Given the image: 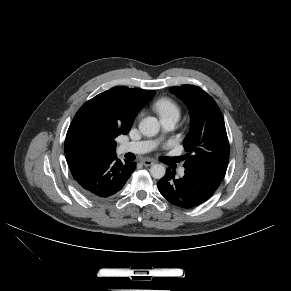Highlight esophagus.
<instances>
[{"label": "esophagus", "instance_id": "34e87169", "mask_svg": "<svg viewBox=\"0 0 291 291\" xmlns=\"http://www.w3.org/2000/svg\"><path fill=\"white\" fill-rule=\"evenodd\" d=\"M141 163H142L143 165H145V166H151V165L154 164V161L151 160V159H143V160L141 161Z\"/></svg>", "mask_w": 291, "mask_h": 291}]
</instances>
